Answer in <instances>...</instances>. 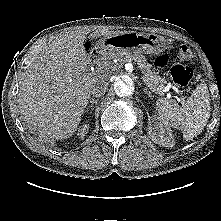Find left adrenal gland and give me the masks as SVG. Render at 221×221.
<instances>
[{
    "label": "left adrenal gland",
    "instance_id": "obj_1",
    "mask_svg": "<svg viewBox=\"0 0 221 221\" xmlns=\"http://www.w3.org/2000/svg\"><path fill=\"white\" fill-rule=\"evenodd\" d=\"M145 94L148 95V97L152 98L151 92L147 90L146 88L143 90Z\"/></svg>",
    "mask_w": 221,
    "mask_h": 221
}]
</instances>
